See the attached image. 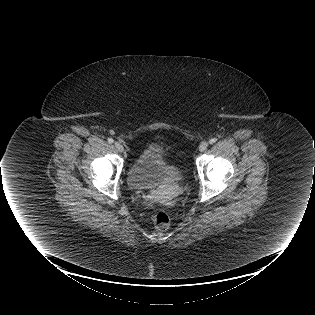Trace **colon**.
<instances>
[{"label":"colon","mask_w":315,"mask_h":315,"mask_svg":"<svg viewBox=\"0 0 315 315\" xmlns=\"http://www.w3.org/2000/svg\"><path fill=\"white\" fill-rule=\"evenodd\" d=\"M150 219L157 230L164 231L170 226V217L164 212H155Z\"/></svg>","instance_id":"1"}]
</instances>
